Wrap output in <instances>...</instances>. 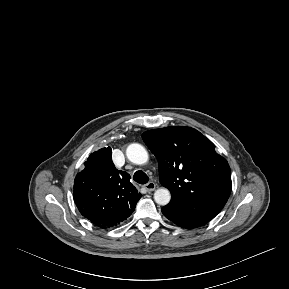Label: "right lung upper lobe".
<instances>
[{"instance_id":"cb5924a9","label":"right lung upper lobe","mask_w":289,"mask_h":289,"mask_svg":"<svg viewBox=\"0 0 289 289\" xmlns=\"http://www.w3.org/2000/svg\"><path fill=\"white\" fill-rule=\"evenodd\" d=\"M111 155L110 147L90 154L75 178L74 202L88 220L103 221L134 208L142 196L130 182V175L116 169Z\"/></svg>"}]
</instances>
